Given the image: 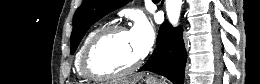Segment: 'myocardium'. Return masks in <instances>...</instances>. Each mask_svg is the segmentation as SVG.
I'll return each instance as SVG.
<instances>
[{"instance_id": "myocardium-1", "label": "myocardium", "mask_w": 260, "mask_h": 84, "mask_svg": "<svg viewBox=\"0 0 260 84\" xmlns=\"http://www.w3.org/2000/svg\"><path fill=\"white\" fill-rule=\"evenodd\" d=\"M129 32L128 29L122 25H108L99 29L93 37L88 42L84 54L82 57L81 68L84 76L90 80H109L116 79L127 74H130L137 70L144 61V56H141L134 64L131 66L116 70V71H98L93 65V56L98 47L99 43L106 37L117 33Z\"/></svg>"}]
</instances>
